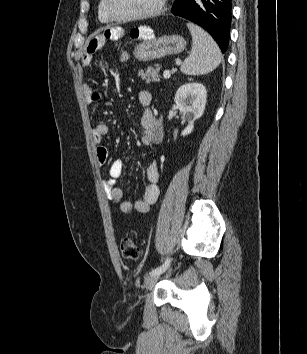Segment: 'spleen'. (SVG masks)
<instances>
[{
	"label": "spleen",
	"mask_w": 307,
	"mask_h": 354,
	"mask_svg": "<svg viewBox=\"0 0 307 354\" xmlns=\"http://www.w3.org/2000/svg\"><path fill=\"white\" fill-rule=\"evenodd\" d=\"M192 35V50L181 65L186 75H203L213 71L222 60V55L214 39L201 27L187 24Z\"/></svg>",
	"instance_id": "3e777b00"
}]
</instances>
